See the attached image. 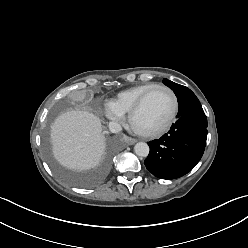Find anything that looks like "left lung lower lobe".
Listing matches in <instances>:
<instances>
[{"mask_svg": "<svg viewBox=\"0 0 248 248\" xmlns=\"http://www.w3.org/2000/svg\"><path fill=\"white\" fill-rule=\"evenodd\" d=\"M178 120L160 139L148 142L144 163L156 177L179 178L201 159L207 139V118L194 93L179 100Z\"/></svg>", "mask_w": 248, "mask_h": 248, "instance_id": "obj_1", "label": "left lung lower lobe"}]
</instances>
